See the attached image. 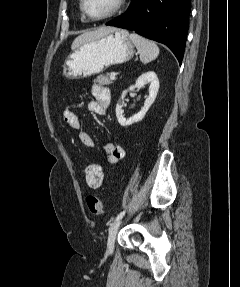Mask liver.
I'll list each match as a JSON object with an SVG mask.
<instances>
[{"mask_svg":"<svg viewBox=\"0 0 240 287\" xmlns=\"http://www.w3.org/2000/svg\"><path fill=\"white\" fill-rule=\"evenodd\" d=\"M115 29H116L115 27L105 26V27H100L94 31H86L83 34L75 38V40L72 43L71 48L74 49L82 45L83 43L102 37Z\"/></svg>","mask_w":240,"mask_h":287,"instance_id":"6515ba94","label":"liver"}]
</instances>
